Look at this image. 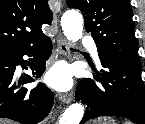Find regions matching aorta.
Segmentation results:
<instances>
[{
  "label": "aorta",
  "mask_w": 145,
  "mask_h": 124,
  "mask_svg": "<svg viewBox=\"0 0 145 124\" xmlns=\"http://www.w3.org/2000/svg\"><path fill=\"white\" fill-rule=\"evenodd\" d=\"M61 26L66 38L76 42L82 37L83 17L75 10L66 11L61 17ZM84 114V106L81 103L70 105L61 118L59 124H79Z\"/></svg>",
  "instance_id": "aorta-1"
}]
</instances>
